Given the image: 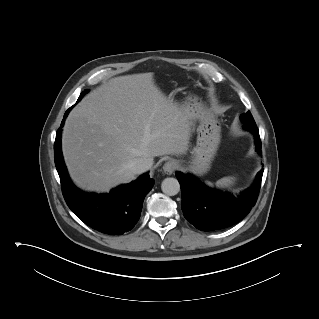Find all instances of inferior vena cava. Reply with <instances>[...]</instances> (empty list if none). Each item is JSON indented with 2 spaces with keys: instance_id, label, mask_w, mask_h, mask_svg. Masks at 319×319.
Wrapping results in <instances>:
<instances>
[{
  "instance_id": "1",
  "label": "inferior vena cava",
  "mask_w": 319,
  "mask_h": 319,
  "mask_svg": "<svg viewBox=\"0 0 319 319\" xmlns=\"http://www.w3.org/2000/svg\"><path fill=\"white\" fill-rule=\"evenodd\" d=\"M153 165L152 158H138L130 163V169L135 174H141L149 170Z\"/></svg>"
}]
</instances>
